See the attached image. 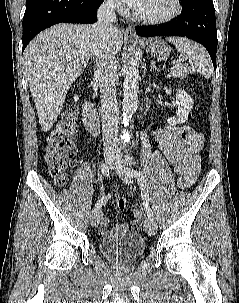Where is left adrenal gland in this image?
I'll list each match as a JSON object with an SVG mask.
<instances>
[{
    "instance_id": "a2214340",
    "label": "left adrenal gland",
    "mask_w": 239,
    "mask_h": 303,
    "mask_svg": "<svg viewBox=\"0 0 239 303\" xmlns=\"http://www.w3.org/2000/svg\"><path fill=\"white\" fill-rule=\"evenodd\" d=\"M152 70H155V71H157L159 73V69L156 66V63H155L154 60H152L151 63H150V71H152Z\"/></svg>"
}]
</instances>
